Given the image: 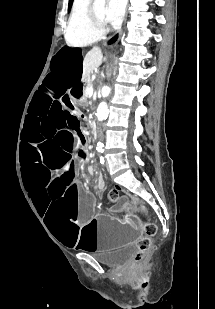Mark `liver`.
I'll return each mask as SVG.
<instances>
[{"instance_id":"liver-1","label":"liver","mask_w":215,"mask_h":309,"mask_svg":"<svg viewBox=\"0 0 215 309\" xmlns=\"http://www.w3.org/2000/svg\"><path fill=\"white\" fill-rule=\"evenodd\" d=\"M103 60H106V58L103 56L102 50L99 46H93V48L87 52L83 60V82L84 80H87L88 76H90V72H92L96 66L102 64Z\"/></svg>"}]
</instances>
